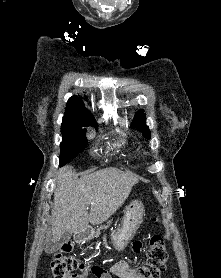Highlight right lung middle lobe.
<instances>
[{"label":"right lung middle lobe","instance_id":"1","mask_svg":"<svg viewBox=\"0 0 221 278\" xmlns=\"http://www.w3.org/2000/svg\"><path fill=\"white\" fill-rule=\"evenodd\" d=\"M87 126H93L97 128V125L84 124L77 121H63L61 126V132L63 141L60 144L61 155L60 165H64L75 158L80 152H82L88 143L86 137Z\"/></svg>","mask_w":221,"mask_h":278}]
</instances>
